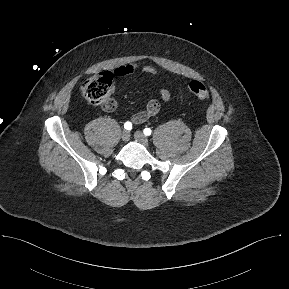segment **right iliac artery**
Instances as JSON below:
<instances>
[{
    "mask_svg": "<svg viewBox=\"0 0 289 289\" xmlns=\"http://www.w3.org/2000/svg\"><path fill=\"white\" fill-rule=\"evenodd\" d=\"M124 128L126 130H131L132 129V123L127 121L125 124H124Z\"/></svg>",
    "mask_w": 289,
    "mask_h": 289,
    "instance_id": "right-iliac-artery-1",
    "label": "right iliac artery"
}]
</instances>
